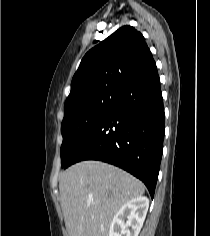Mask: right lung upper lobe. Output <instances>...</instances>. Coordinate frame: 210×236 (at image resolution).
<instances>
[{
  "mask_svg": "<svg viewBox=\"0 0 210 236\" xmlns=\"http://www.w3.org/2000/svg\"><path fill=\"white\" fill-rule=\"evenodd\" d=\"M155 69L143 35L123 26L85 54L73 76L64 111L95 95L121 92Z\"/></svg>",
  "mask_w": 210,
  "mask_h": 236,
  "instance_id": "right-lung-upper-lobe-1",
  "label": "right lung upper lobe"
}]
</instances>
